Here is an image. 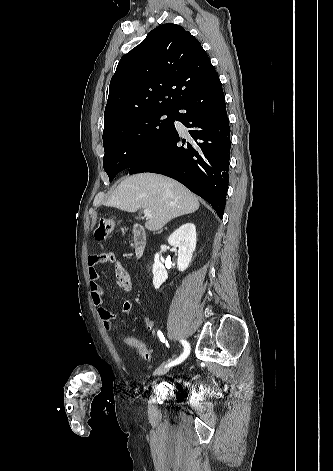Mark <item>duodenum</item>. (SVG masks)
Here are the masks:
<instances>
[{
  "mask_svg": "<svg viewBox=\"0 0 333 471\" xmlns=\"http://www.w3.org/2000/svg\"><path fill=\"white\" fill-rule=\"evenodd\" d=\"M134 252L140 258L146 247V234L141 226L136 225L133 231Z\"/></svg>",
  "mask_w": 333,
  "mask_h": 471,
  "instance_id": "obj_1",
  "label": "duodenum"
}]
</instances>
